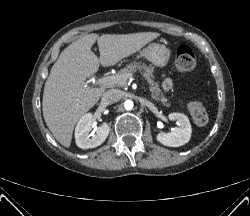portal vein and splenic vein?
Returning <instances> with one entry per match:
<instances>
[{
  "label": "portal vein and splenic vein",
  "mask_w": 250,
  "mask_h": 216,
  "mask_svg": "<svg viewBox=\"0 0 250 216\" xmlns=\"http://www.w3.org/2000/svg\"><path fill=\"white\" fill-rule=\"evenodd\" d=\"M133 74H123V75H112L103 77L97 80V84L101 86L121 84L127 81L128 78H132Z\"/></svg>",
  "instance_id": "1"
}]
</instances>
